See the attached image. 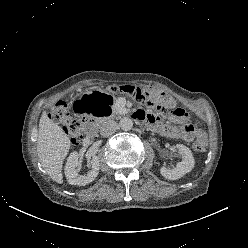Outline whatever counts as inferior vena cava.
<instances>
[{"label": "inferior vena cava", "instance_id": "obj_1", "mask_svg": "<svg viewBox=\"0 0 248 248\" xmlns=\"http://www.w3.org/2000/svg\"><path fill=\"white\" fill-rule=\"evenodd\" d=\"M117 129V123L113 120H108L102 124L100 127V134L103 137H108L112 135Z\"/></svg>", "mask_w": 248, "mask_h": 248}]
</instances>
